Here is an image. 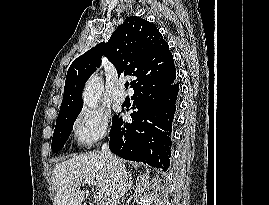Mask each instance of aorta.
Here are the masks:
<instances>
[{"label":"aorta","instance_id":"aorta-1","mask_svg":"<svg viewBox=\"0 0 269 205\" xmlns=\"http://www.w3.org/2000/svg\"><path fill=\"white\" fill-rule=\"evenodd\" d=\"M102 89L101 79L96 75L92 76L83 92L84 105L88 110L94 111L97 109Z\"/></svg>","mask_w":269,"mask_h":205}]
</instances>
